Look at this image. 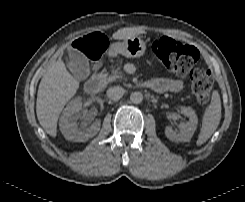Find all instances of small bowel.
<instances>
[{
	"instance_id": "small-bowel-1",
	"label": "small bowel",
	"mask_w": 245,
	"mask_h": 202,
	"mask_svg": "<svg viewBox=\"0 0 245 202\" xmlns=\"http://www.w3.org/2000/svg\"><path fill=\"white\" fill-rule=\"evenodd\" d=\"M148 87L153 89L156 92H178L182 91L185 88V84L181 79L167 78V77H158L151 80L148 84Z\"/></svg>"
}]
</instances>
